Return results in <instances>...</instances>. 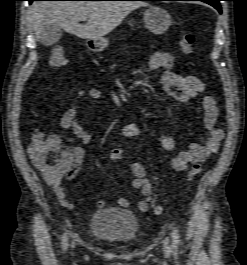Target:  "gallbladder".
<instances>
[{"label": "gallbladder", "instance_id": "1", "mask_svg": "<svg viewBox=\"0 0 247 265\" xmlns=\"http://www.w3.org/2000/svg\"><path fill=\"white\" fill-rule=\"evenodd\" d=\"M63 34V29L59 25L46 24L43 26L39 41L45 46H53L60 40Z\"/></svg>", "mask_w": 247, "mask_h": 265}]
</instances>
